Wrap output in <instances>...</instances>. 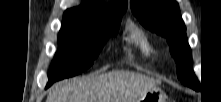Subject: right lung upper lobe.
<instances>
[{"label":"right lung upper lobe","mask_w":221,"mask_h":102,"mask_svg":"<svg viewBox=\"0 0 221 102\" xmlns=\"http://www.w3.org/2000/svg\"><path fill=\"white\" fill-rule=\"evenodd\" d=\"M126 8L127 0H116L111 6L103 5L100 2H84L78 7L67 9L64 12V18L81 20L115 18L125 12Z\"/></svg>","instance_id":"right-lung-upper-lobe-1"}]
</instances>
